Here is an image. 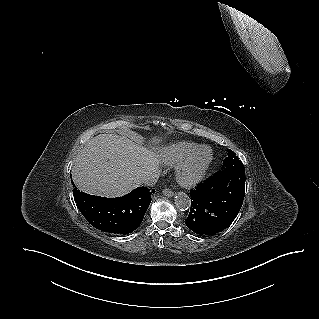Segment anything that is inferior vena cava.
Instances as JSON below:
<instances>
[{
  "label": "inferior vena cava",
  "mask_w": 319,
  "mask_h": 319,
  "mask_svg": "<svg viewBox=\"0 0 319 319\" xmlns=\"http://www.w3.org/2000/svg\"><path fill=\"white\" fill-rule=\"evenodd\" d=\"M159 178V173L156 170L150 171L145 173L140 181L141 184L147 185V186H153L156 184L157 180Z\"/></svg>",
  "instance_id": "obj_1"
}]
</instances>
